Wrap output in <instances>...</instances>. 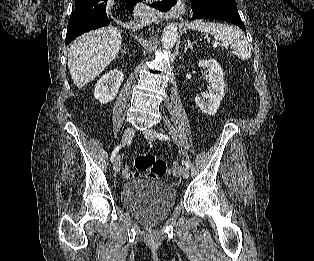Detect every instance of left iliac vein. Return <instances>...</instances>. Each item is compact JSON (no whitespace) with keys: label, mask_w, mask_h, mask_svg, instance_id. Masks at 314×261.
I'll list each match as a JSON object with an SVG mask.
<instances>
[{"label":"left iliac vein","mask_w":314,"mask_h":261,"mask_svg":"<svg viewBox=\"0 0 314 261\" xmlns=\"http://www.w3.org/2000/svg\"><path fill=\"white\" fill-rule=\"evenodd\" d=\"M144 136L148 140H155V131L151 128H148L144 131ZM181 174L183 178L187 179L189 178V170L186 166H183L181 169Z\"/></svg>","instance_id":"4c4485c4"}]
</instances>
